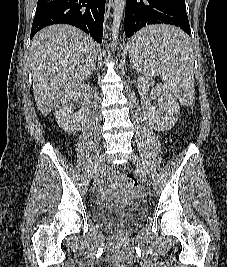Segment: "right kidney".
<instances>
[{"label":"right kidney","mask_w":227,"mask_h":267,"mask_svg":"<svg viewBox=\"0 0 227 267\" xmlns=\"http://www.w3.org/2000/svg\"><path fill=\"white\" fill-rule=\"evenodd\" d=\"M92 88L89 84H82L77 89L65 94L55 107V119L58 125L68 133L81 131L89 115V97ZM83 100L78 111H75L74 102Z\"/></svg>","instance_id":"1"}]
</instances>
